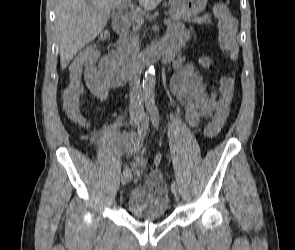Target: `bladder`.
Returning <instances> with one entry per match:
<instances>
[{
	"label": "bladder",
	"instance_id": "bladder-1",
	"mask_svg": "<svg viewBox=\"0 0 295 250\" xmlns=\"http://www.w3.org/2000/svg\"><path fill=\"white\" fill-rule=\"evenodd\" d=\"M170 206L167 184L159 171L148 174L129 193L126 208L140 220L166 218Z\"/></svg>",
	"mask_w": 295,
	"mask_h": 250
}]
</instances>
